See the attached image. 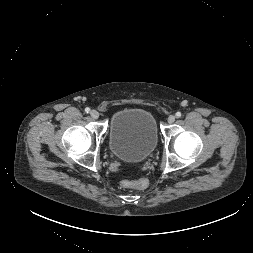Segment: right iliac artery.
<instances>
[{
	"label": "right iliac artery",
	"instance_id": "obj_1",
	"mask_svg": "<svg viewBox=\"0 0 253 253\" xmlns=\"http://www.w3.org/2000/svg\"><path fill=\"white\" fill-rule=\"evenodd\" d=\"M85 112H86V113H89V112H90V108H88V107L85 108Z\"/></svg>",
	"mask_w": 253,
	"mask_h": 253
}]
</instances>
